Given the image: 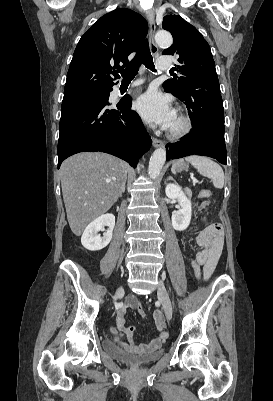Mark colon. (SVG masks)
<instances>
[{"label": "colon", "mask_w": 273, "mask_h": 401, "mask_svg": "<svg viewBox=\"0 0 273 401\" xmlns=\"http://www.w3.org/2000/svg\"><path fill=\"white\" fill-rule=\"evenodd\" d=\"M206 232H201L200 239L201 241H214L216 236H219L222 232V228L219 224L214 223L207 227ZM137 311L139 316L145 315V307L141 301L137 302Z\"/></svg>", "instance_id": "1"}]
</instances>
